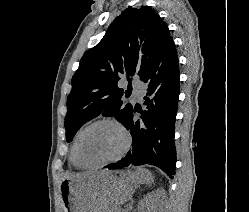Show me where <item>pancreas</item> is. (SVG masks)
I'll use <instances>...</instances> for the list:
<instances>
[{"instance_id": "1", "label": "pancreas", "mask_w": 249, "mask_h": 212, "mask_svg": "<svg viewBox=\"0 0 249 212\" xmlns=\"http://www.w3.org/2000/svg\"><path fill=\"white\" fill-rule=\"evenodd\" d=\"M107 212H115V210H109V208H107Z\"/></svg>"}]
</instances>
